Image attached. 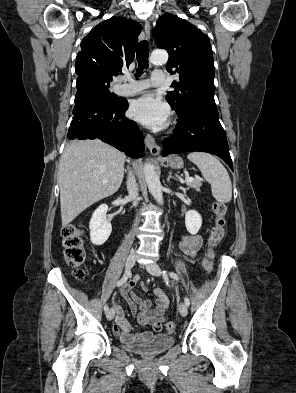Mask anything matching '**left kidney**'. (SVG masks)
<instances>
[{
    "mask_svg": "<svg viewBox=\"0 0 296 393\" xmlns=\"http://www.w3.org/2000/svg\"><path fill=\"white\" fill-rule=\"evenodd\" d=\"M186 229L190 234H197L202 225L201 215L194 210H190L185 214Z\"/></svg>",
    "mask_w": 296,
    "mask_h": 393,
    "instance_id": "5707ae66",
    "label": "left kidney"
}]
</instances>
